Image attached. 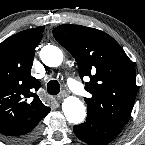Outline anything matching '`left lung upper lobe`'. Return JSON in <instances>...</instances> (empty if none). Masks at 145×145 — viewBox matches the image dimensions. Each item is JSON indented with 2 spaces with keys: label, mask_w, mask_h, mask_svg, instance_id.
<instances>
[{
  "label": "left lung upper lobe",
  "mask_w": 145,
  "mask_h": 145,
  "mask_svg": "<svg viewBox=\"0 0 145 145\" xmlns=\"http://www.w3.org/2000/svg\"><path fill=\"white\" fill-rule=\"evenodd\" d=\"M55 39L76 59L85 89L88 116L123 127L137 93L136 71L120 45L108 34L85 26L64 24L53 30Z\"/></svg>",
  "instance_id": "1"
}]
</instances>
